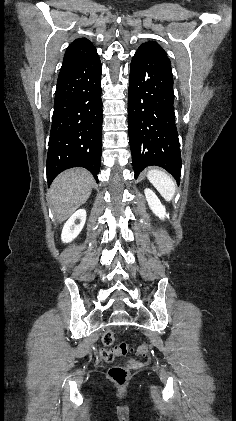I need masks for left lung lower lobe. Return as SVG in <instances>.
I'll list each match as a JSON object with an SVG mask.
<instances>
[{
	"mask_svg": "<svg viewBox=\"0 0 236 421\" xmlns=\"http://www.w3.org/2000/svg\"><path fill=\"white\" fill-rule=\"evenodd\" d=\"M170 60L158 44H142L130 66L128 128L135 178L147 166L166 169L179 184L181 153Z\"/></svg>",
	"mask_w": 236,
	"mask_h": 421,
	"instance_id": "1",
	"label": "left lung lower lobe"
}]
</instances>
